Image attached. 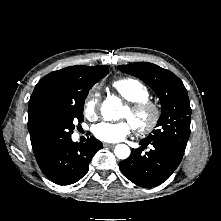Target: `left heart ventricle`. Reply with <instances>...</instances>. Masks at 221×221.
<instances>
[{
  "mask_svg": "<svg viewBox=\"0 0 221 221\" xmlns=\"http://www.w3.org/2000/svg\"><path fill=\"white\" fill-rule=\"evenodd\" d=\"M122 116L127 117L131 121L130 115H129V112H128L127 108L123 109ZM145 120H146L145 117H140V118L137 119V121L140 122V123L144 122Z\"/></svg>",
  "mask_w": 221,
  "mask_h": 221,
  "instance_id": "left-heart-ventricle-1",
  "label": "left heart ventricle"
}]
</instances>
